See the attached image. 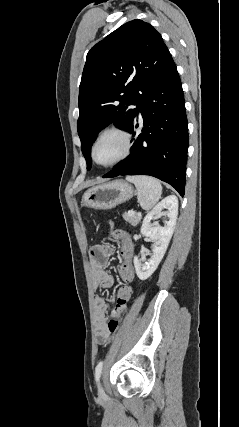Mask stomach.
<instances>
[{
    "instance_id": "stomach-1",
    "label": "stomach",
    "mask_w": 239,
    "mask_h": 427,
    "mask_svg": "<svg viewBox=\"0 0 239 427\" xmlns=\"http://www.w3.org/2000/svg\"><path fill=\"white\" fill-rule=\"evenodd\" d=\"M133 187L123 180H115L88 189L82 198L84 206L108 210L128 201L133 196Z\"/></svg>"
}]
</instances>
